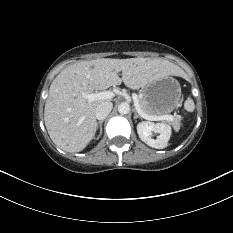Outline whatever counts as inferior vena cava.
Wrapping results in <instances>:
<instances>
[{
  "label": "inferior vena cava",
  "instance_id": "obj_1",
  "mask_svg": "<svg viewBox=\"0 0 233 233\" xmlns=\"http://www.w3.org/2000/svg\"><path fill=\"white\" fill-rule=\"evenodd\" d=\"M113 104L111 102H101L97 105L95 116L98 120H104L111 112Z\"/></svg>",
  "mask_w": 233,
  "mask_h": 233
}]
</instances>
